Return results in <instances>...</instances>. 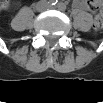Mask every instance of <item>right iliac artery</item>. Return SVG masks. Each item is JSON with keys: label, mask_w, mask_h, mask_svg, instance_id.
<instances>
[{"label": "right iliac artery", "mask_w": 103, "mask_h": 103, "mask_svg": "<svg viewBox=\"0 0 103 103\" xmlns=\"http://www.w3.org/2000/svg\"><path fill=\"white\" fill-rule=\"evenodd\" d=\"M57 2H58L57 0H51V1H50V4H51V5H56Z\"/></svg>", "instance_id": "82829eb1"}]
</instances>
